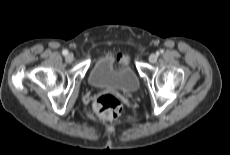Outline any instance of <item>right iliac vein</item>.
I'll return each instance as SVG.
<instances>
[{"label":"right iliac vein","instance_id":"right-iliac-vein-1","mask_svg":"<svg viewBox=\"0 0 230 155\" xmlns=\"http://www.w3.org/2000/svg\"><path fill=\"white\" fill-rule=\"evenodd\" d=\"M66 61L68 62V63H71V62H73V60H74V56H73V54H71V53H69V54H67L66 55Z\"/></svg>","mask_w":230,"mask_h":155}]
</instances>
